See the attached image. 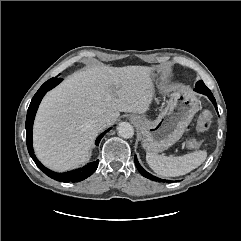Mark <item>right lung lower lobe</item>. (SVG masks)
I'll return each mask as SVG.
<instances>
[{
	"mask_svg": "<svg viewBox=\"0 0 241 241\" xmlns=\"http://www.w3.org/2000/svg\"><path fill=\"white\" fill-rule=\"evenodd\" d=\"M52 80H53V78H51L50 80L45 82L40 87V89L34 95L32 101L30 103V106L28 108L27 117H26V125H25L26 126V142H27L28 152H29L30 156L32 157L33 161L36 163V165L50 178H53L60 182H79V181L86 179L87 177H89L90 175H92L95 172V170L98 167V160L95 162H92V163H88L86 166H84L83 168H80V169H76V170L69 171L66 173H56V172H53V171L47 169L46 167H44L42 165V163L37 160L36 156L34 155L33 149H32V128H33V122H34V118H35V114L38 109V106H39L43 96L46 94V92L49 91L50 89L54 88L56 85H58L59 80H62V79L56 78V79H54L55 82H51ZM106 132H104L97 138L96 145L99 144L101 138L103 137V135Z\"/></svg>",
	"mask_w": 241,
	"mask_h": 241,
	"instance_id": "right-lung-lower-lobe-1",
	"label": "right lung lower lobe"
}]
</instances>
